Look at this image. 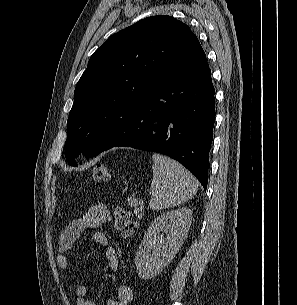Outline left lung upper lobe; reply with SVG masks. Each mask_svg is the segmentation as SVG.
Masks as SVG:
<instances>
[{"instance_id": "5c2ea615", "label": "left lung upper lobe", "mask_w": 297, "mask_h": 305, "mask_svg": "<svg viewBox=\"0 0 297 305\" xmlns=\"http://www.w3.org/2000/svg\"><path fill=\"white\" fill-rule=\"evenodd\" d=\"M208 66L198 38L170 16H151L111 36L90 57L67 120L66 160L96 156L115 138L135 108L175 77Z\"/></svg>"}]
</instances>
